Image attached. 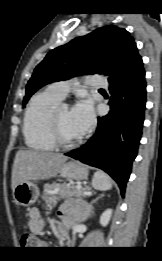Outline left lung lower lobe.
<instances>
[{
    "label": "left lung lower lobe",
    "mask_w": 162,
    "mask_h": 261,
    "mask_svg": "<svg viewBox=\"0 0 162 261\" xmlns=\"http://www.w3.org/2000/svg\"><path fill=\"white\" fill-rule=\"evenodd\" d=\"M109 83L110 112L98 119L96 133L86 144L65 155L107 172L124 197L140 144L146 107L142 59Z\"/></svg>",
    "instance_id": "1"
}]
</instances>
